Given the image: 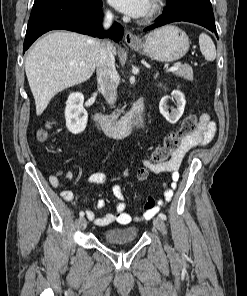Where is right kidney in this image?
I'll return each instance as SVG.
<instances>
[{
    "mask_svg": "<svg viewBox=\"0 0 247 296\" xmlns=\"http://www.w3.org/2000/svg\"><path fill=\"white\" fill-rule=\"evenodd\" d=\"M84 96L82 93H71L66 102V127L73 134L83 132L87 125L88 113L83 108Z\"/></svg>",
    "mask_w": 247,
    "mask_h": 296,
    "instance_id": "right-kidney-1",
    "label": "right kidney"
}]
</instances>
